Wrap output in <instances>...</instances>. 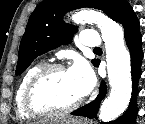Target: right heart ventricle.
<instances>
[{"label":"right heart ventricle","instance_id":"obj_1","mask_svg":"<svg viewBox=\"0 0 145 124\" xmlns=\"http://www.w3.org/2000/svg\"><path fill=\"white\" fill-rule=\"evenodd\" d=\"M43 66L42 63H38L36 65H33L30 67L22 76L17 89L15 93V104H16V112L18 116L21 118H29L32 117L33 115L29 114L25 107H24V92L26 89V86L31 79V77L36 73L38 69H40Z\"/></svg>","mask_w":145,"mask_h":124}]
</instances>
